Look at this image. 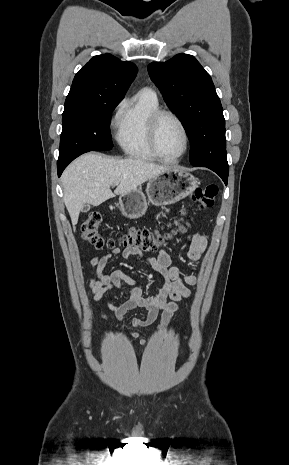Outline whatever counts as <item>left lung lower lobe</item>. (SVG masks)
Wrapping results in <instances>:
<instances>
[{
	"mask_svg": "<svg viewBox=\"0 0 289 465\" xmlns=\"http://www.w3.org/2000/svg\"><path fill=\"white\" fill-rule=\"evenodd\" d=\"M203 167H207V168L211 169L212 171H214L215 173H217L222 178L224 183L227 185V178H228L229 169L223 170V169H219V168L211 167V166H203Z\"/></svg>",
	"mask_w": 289,
	"mask_h": 465,
	"instance_id": "obj_1",
	"label": "left lung lower lobe"
}]
</instances>
